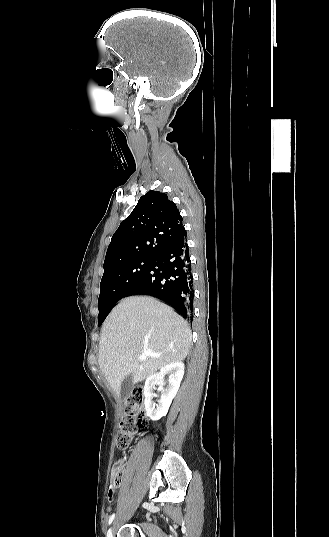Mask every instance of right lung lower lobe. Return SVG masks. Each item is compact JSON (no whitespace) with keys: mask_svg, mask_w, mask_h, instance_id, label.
Masks as SVG:
<instances>
[{"mask_svg":"<svg viewBox=\"0 0 329 537\" xmlns=\"http://www.w3.org/2000/svg\"><path fill=\"white\" fill-rule=\"evenodd\" d=\"M150 295L159 298L183 316L190 318L193 309V276L186 232L159 251L126 296Z\"/></svg>","mask_w":329,"mask_h":537,"instance_id":"right-lung-lower-lobe-1","label":"right lung lower lobe"}]
</instances>
